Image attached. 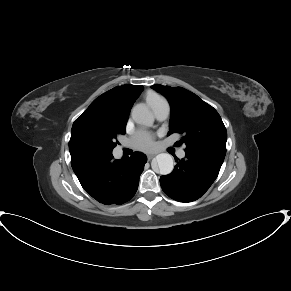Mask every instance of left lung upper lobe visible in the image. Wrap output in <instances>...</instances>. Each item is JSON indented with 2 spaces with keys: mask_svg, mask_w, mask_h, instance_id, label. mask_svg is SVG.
I'll return each instance as SVG.
<instances>
[{
  "mask_svg": "<svg viewBox=\"0 0 291 291\" xmlns=\"http://www.w3.org/2000/svg\"><path fill=\"white\" fill-rule=\"evenodd\" d=\"M171 106L170 131L180 133L185 151L225 157L227 132L218 112L194 93L181 88L155 84Z\"/></svg>",
  "mask_w": 291,
  "mask_h": 291,
  "instance_id": "obj_1",
  "label": "left lung upper lobe"
}]
</instances>
